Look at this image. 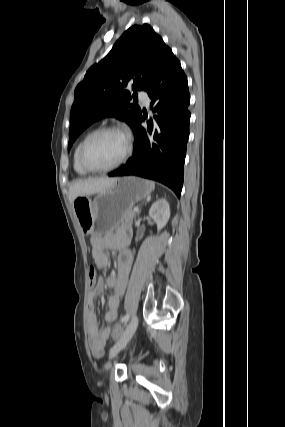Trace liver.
Instances as JSON below:
<instances>
[{
  "instance_id": "obj_1",
  "label": "liver",
  "mask_w": 285,
  "mask_h": 427,
  "mask_svg": "<svg viewBox=\"0 0 285 427\" xmlns=\"http://www.w3.org/2000/svg\"><path fill=\"white\" fill-rule=\"evenodd\" d=\"M117 178H89L78 180L71 184L69 188V201L71 203L79 196H89L108 189Z\"/></svg>"
}]
</instances>
